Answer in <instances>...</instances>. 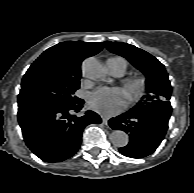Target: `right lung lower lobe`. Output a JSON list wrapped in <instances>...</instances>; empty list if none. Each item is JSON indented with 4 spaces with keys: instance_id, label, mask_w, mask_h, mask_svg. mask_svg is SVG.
I'll list each match as a JSON object with an SVG mask.
<instances>
[{
    "instance_id": "right-lung-lower-lobe-1",
    "label": "right lung lower lobe",
    "mask_w": 194,
    "mask_h": 193,
    "mask_svg": "<svg viewBox=\"0 0 194 193\" xmlns=\"http://www.w3.org/2000/svg\"><path fill=\"white\" fill-rule=\"evenodd\" d=\"M83 100L73 106L20 107L18 121L29 149L45 162H61L74 155L80 147L83 129L101 123L99 115L87 111L81 117Z\"/></svg>"
}]
</instances>
